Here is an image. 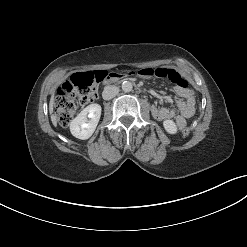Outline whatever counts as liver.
<instances>
[{"label": "liver", "mask_w": 247, "mask_h": 247, "mask_svg": "<svg viewBox=\"0 0 247 247\" xmlns=\"http://www.w3.org/2000/svg\"><path fill=\"white\" fill-rule=\"evenodd\" d=\"M53 107H54V96L52 95L50 98V102H49V112L51 114V121L53 123L54 126H57V118L53 113Z\"/></svg>", "instance_id": "obj_1"}]
</instances>
